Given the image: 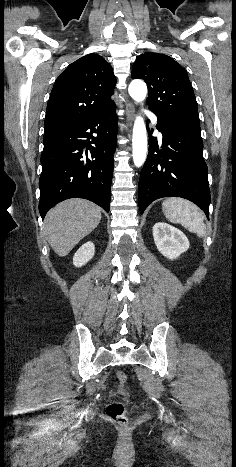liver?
Segmentation results:
<instances>
[{"instance_id": "1", "label": "liver", "mask_w": 236, "mask_h": 467, "mask_svg": "<svg viewBox=\"0 0 236 467\" xmlns=\"http://www.w3.org/2000/svg\"><path fill=\"white\" fill-rule=\"evenodd\" d=\"M101 208L85 199H69L46 215L44 232L54 252L64 257L100 223Z\"/></svg>"}]
</instances>
